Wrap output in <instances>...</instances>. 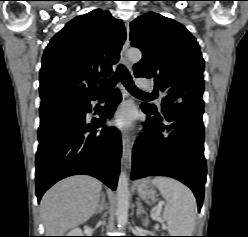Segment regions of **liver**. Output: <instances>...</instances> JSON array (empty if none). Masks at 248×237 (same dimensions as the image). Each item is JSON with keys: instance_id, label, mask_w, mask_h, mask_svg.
<instances>
[{"instance_id": "liver-1", "label": "liver", "mask_w": 248, "mask_h": 237, "mask_svg": "<svg viewBox=\"0 0 248 237\" xmlns=\"http://www.w3.org/2000/svg\"><path fill=\"white\" fill-rule=\"evenodd\" d=\"M101 190L99 180L84 175L66 178L50 188L40 203L46 236H63L86 222L97 209Z\"/></svg>"}]
</instances>
